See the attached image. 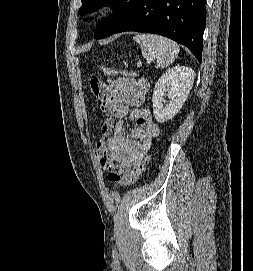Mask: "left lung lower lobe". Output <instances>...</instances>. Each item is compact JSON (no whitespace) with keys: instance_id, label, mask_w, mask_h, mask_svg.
Here are the masks:
<instances>
[{"instance_id":"1","label":"left lung lower lobe","mask_w":253,"mask_h":271,"mask_svg":"<svg viewBox=\"0 0 253 271\" xmlns=\"http://www.w3.org/2000/svg\"><path fill=\"white\" fill-rule=\"evenodd\" d=\"M205 23V0H134L130 14L112 34H159L188 47L201 62Z\"/></svg>"}]
</instances>
